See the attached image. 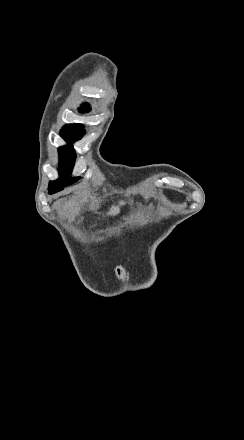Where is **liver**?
<instances>
[{
  "label": "liver",
  "mask_w": 244,
  "mask_h": 440,
  "mask_svg": "<svg viewBox=\"0 0 244 440\" xmlns=\"http://www.w3.org/2000/svg\"><path fill=\"white\" fill-rule=\"evenodd\" d=\"M124 204L125 202H120V206H124ZM74 206L75 204H72V202H68V204H66L65 206V210H69V212H74ZM120 206H112L110 212H108V216H117V214H119L120 212Z\"/></svg>",
  "instance_id": "obj_1"
}]
</instances>
